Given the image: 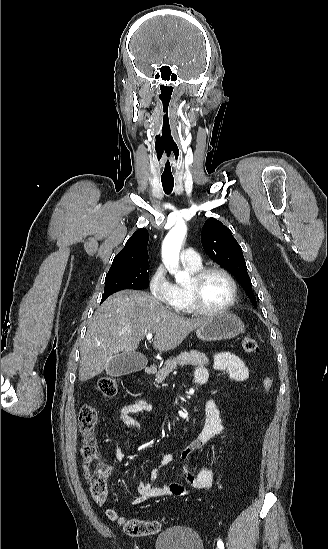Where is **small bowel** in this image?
<instances>
[{
    "instance_id": "1",
    "label": "small bowel",
    "mask_w": 328,
    "mask_h": 549,
    "mask_svg": "<svg viewBox=\"0 0 328 549\" xmlns=\"http://www.w3.org/2000/svg\"><path fill=\"white\" fill-rule=\"evenodd\" d=\"M213 366L217 370L226 371L229 377L237 382H244L249 379L250 371L245 362L235 354L228 352L217 353L213 357ZM207 372L203 367H196L194 370V377L204 378L206 380ZM152 410V406L143 399H137L129 404L121 407L118 413L119 421L124 424L134 427V421L131 415L142 412H149ZM223 429L220 409L215 399L208 400L206 404V420L203 429L181 452L182 470L184 477L189 484L190 489L200 491L210 489L215 482L214 471L208 464H203L200 469L195 472L190 464L189 460L191 456L200 450L207 448L212 440L221 433ZM116 441V436H114ZM115 457L118 461H123L126 455L117 446L114 450ZM173 460L170 454H164L159 458V466L152 470L150 473L149 482H141L137 487L138 495L133 499L134 505L141 504L150 498L162 497V496H186L190 489L177 483L167 482L159 485L153 484V482L159 477L162 468L169 465ZM110 513H115L110 511Z\"/></svg>"
}]
</instances>
